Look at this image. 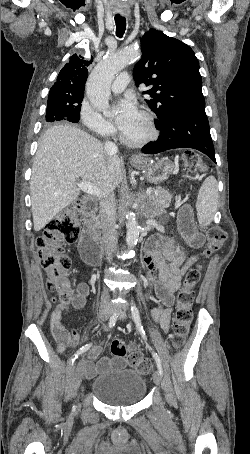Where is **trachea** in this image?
Segmentation results:
<instances>
[{"mask_svg":"<svg viewBox=\"0 0 250 454\" xmlns=\"http://www.w3.org/2000/svg\"><path fill=\"white\" fill-rule=\"evenodd\" d=\"M116 23V35L119 38H122L126 30V19L120 15L115 16Z\"/></svg>","mask_w":250,"mask_h":454,"instance_id":"1","label":"trachea"}]
</instances>
